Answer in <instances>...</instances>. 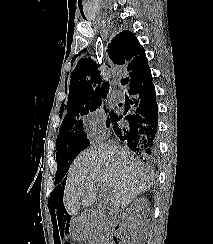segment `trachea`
<instances>
[{
  "instance_id": "obj_1",
  "label": "trachea",
  "mask_w": 213,
  "mask_h": 244,
  "mask_svg": "<svg viewBox=\"0 0 213 244\" xmlns=\"http://www.w3.org/2000/svg\"><path fill=\"white\" fill-rule=\"evenodd\" d=\"M129 79L128 78H124L121 80V84L122 85H126L128 83Z\"/></svg>"
}]
</instances>
